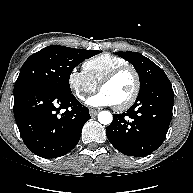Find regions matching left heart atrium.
<instances>
[{"mask_svg": "<svg viewBox=\"0 0 193 193\" xmlns=\"http://www.w3.org/2000/svg\"><path fill=\"white\" fill-rule=\"evenodd\" d=\"M86 103L93 107H101V106H112L114 105L113 101L110 99V97L102 92L99 91L97 94L91 96L87 99Z\"/></svg>", "mask_w": 193, "mask_h": 193, "instance_id": "39dd6f15", "label": "left heart atrium"}]
</instances>
